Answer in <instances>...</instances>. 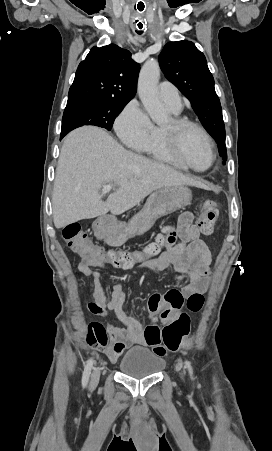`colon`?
Instances as JSON below:
<instances>
[{
	"instance_id": "colon-1",
	"label": "colon",
	"mask_w": 272,
	"mask_h": 451,
	"mask_svg": "<svg viewBox=\"0 0 272 451\" xmlns=\"http://www.w3.org/2000/svg\"><path fill=\"white\" fill-rule=\"evenodd\" d=\"M205 213L200 215L197 221L198 229L206 235L213 233L214 224L218 216L214 202L208 200L205 202ZM62 238L67 246L73 250H77L79 256H101V258H111V266L118 268L119 266H130L137 259L136 254L125 251H110L105 247H94L92 241H86L88 236L82 230L78 223H68L63 231ZM159 247L157 242H153L151 247L147 249L148 253H154ZM93 249V250H92ZM80 270L86 267H92L94 260L92 258H84L82 261L76 262ZM207 305L205 298H188V313H203L204 307ZM189 316L181 313L176 319L171 320L164 326L150 325L146 328L145 346L146 348H154L157 355L164 357L168 354L176 352L180 345L182 347H194L196 340L194 338H184L189 332ZM86 342L89 346L105 347L108 344V332L106 326L99 321H91L87 327Z\"/></svg>"
}]
</instances>
